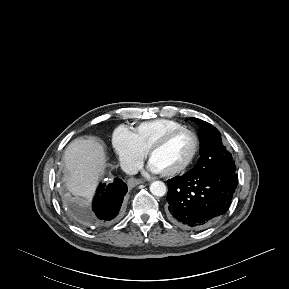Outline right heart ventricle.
Here are the masks:
<instances>
[{
    "label": "right heart ventricle",
    "instance_id": "obj_1",
    "mask_svg": "<svg viewBox=\"0 0 289 289\" xmlns=\"http://www.w3.org/2000/svg\"><path fill=\"white\" fill-rule=\"evenodd\" d=\"M185 128V126L171 119H155L145 121L134 127L132 134L137 145L143 152H147L150 146L170 131Z\"/></svg>",
    "mask_w": 289,
    "mask_h": 289
}]
</instances>
